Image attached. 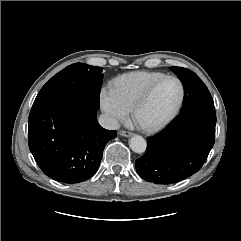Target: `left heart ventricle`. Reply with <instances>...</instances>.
<instances>
[{
	"label": "left heart ventricle",
	"mask_w": 241,
	"mask_h": 241,
	"mask_svg": "<svg viewBox=\"0 0 241 241\" xmlns=\"http://www.w3.org/2000/svg\"><path fill=\"white\" fill-rule=\"evenodd\" d=\"M180 96V86L172 79L163 81L136 115L142 125L155 124L164 119L175 107Z\"/></svg>",
	"instance_id": "obj_1"
}]
</instances>
